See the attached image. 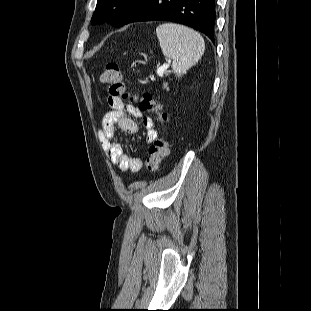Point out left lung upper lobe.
<instances>
[{
    "mask_svg": "<svg viewBox=\"0 0 311 311\" xmlns=\"http://www.w3.org/2000/svg\"><path fill=\"white\" fill-rule=\"evenodd\" d=\"M135 0H98L91 22L93 24L109 22L118 26L121 17Z\"/></svg>",
    "mask_w": 311,
    "mask_h": 311,
    "instance_id": "left-lung-upper-lobe-1",
    "label": "left lung upper lobe"
}]
</instances>
